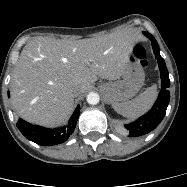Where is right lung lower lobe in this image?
<instances>
[{
    "label": "right lung lower lobe",
    "mask_w": 187,
    "mask_h": 187,
    "mask_svg": "<svg viewBox=\"0 0 187 187\" xmlns=\"http://www.w3.org/2000/svg\"><path fill=\"white\" fill-rule=\"evenodd\" d=\"M8 91V97H9ZM80 113L77 106L68 125L62 128L48 129L37 125H32L23 119H19L17 127L20 132L29 140L43 146H51L65 142L73 133Z\"/></svg>",
    "instance_id": "right-lung-lower-lobe-1"
}]
</instances>
